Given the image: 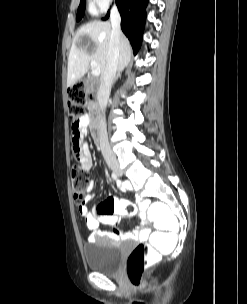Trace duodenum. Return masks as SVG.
I'll list each match as a JSON object with an SVG mask.
<instances>
[{"mask_svg":"<svg viewBox=\"0 0 247 304\" xmlns=\"http://www.w3.org/2000/svg\"><path fill=\"white\" fill-rule=\"evenodd\" d=\"M86 109H88L89 110V113H94V115H92V119L90 120V129H91V132H92V134H93V140L95 141V144H98V140H99V132H98V126L100 125L99 124V120L97 119V118H99V117H97V116H99V114H100V108L98 107V105H93V106H91V104H86ZM101 118V117H100ZM102 125V124H101ZM101 134V133H100Z\"/></svg>","mask_w":247,"mask_h":304,"instance_id":"1","label":"duodenum"}]
</instances>
